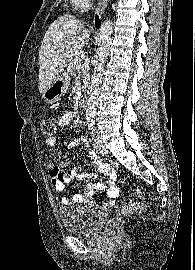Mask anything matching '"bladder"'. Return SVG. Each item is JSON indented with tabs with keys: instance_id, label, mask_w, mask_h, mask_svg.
<instances>
[{
	"instance_id": "obj_1",
	"label": "bladder",
	"mask_w": 195,
	"mask_h": 270,
	"mask_svg": "<svg viewBox=\"0 0 195 270\" xmlns=\"http://www.w3.org/2000/svg\"><path fill=\"white\" fill-rule=\"evenodd\" d=\"M99 212L91 204L65 206L59 209V217L66 232L75 235L92 233Z\"/></svg>"
}]
</instances>
